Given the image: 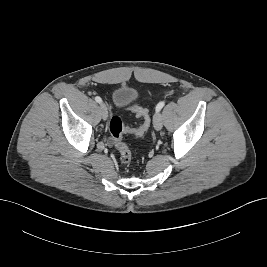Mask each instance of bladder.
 <instances>
[{"label": "bladder", "mask_w": 267, "mask_h": 267, "mask_svg": "<svg viewBox=\"0 0 267 267\" xmlns=\"http://www.w3.org/2000/svg\"><path fill=\"white\" fill-rule=\"evenodd\" d=\"M112 102L117 108L131 105L138 97L137 91L127 85H121L112 92Z\"/></svg>", "instance_id": "obj_1"}]
</instances>
